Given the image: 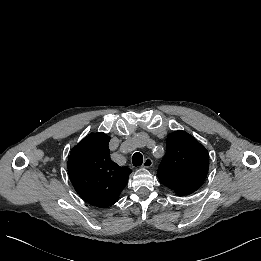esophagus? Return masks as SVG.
<instances>
[{"label":"esophagus","mask_w":261,"mask_h":261,"mask_svg":"<svg viewBox=\"0 0 261 261\" xmlns=\"http://www.w3.org/2000/svg\"><path fill=\"white\" fill-rule=\"evenodd\" d=\"M153 165V161L150 158H146L143 162V167L149 168Z\"/></svg>","instance_id":"34e87169"}]
</instances>
